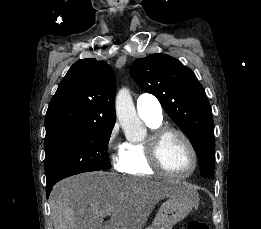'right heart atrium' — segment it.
Wrapping results in <instances>:
<instances>
[{
  "label": "right heart atrium",
  "mask_w": 261,
  "mask_h": 229,
  "mask_svg": "<svg viewBox=\"0 0 261 229\" xmlns=\"http://www.w3.org/2000/svg\"><path fill=\"white\" fill-rule=\"evenodd\" d=\"M118 126L114 125L108 137V152L111 164L117 171H124L126 169L127 159L125 155V143L118 141Z\"/></svg>",
  "instance_id": "right-heart-atrium-1"
}]
</instances>
